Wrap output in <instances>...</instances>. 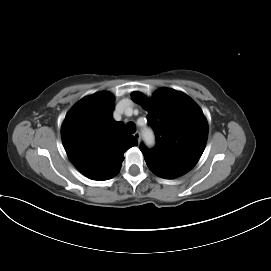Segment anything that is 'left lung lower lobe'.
Returning <instances> with one entry per match:
<instances>
[{
    "label": "left lung lower lobe",
    "instance_id": "0a47b994",
    "mask_svg": "<svg viewBox=\"0 0 271 271\" xmlns=\"http://www.w3.org/2000/svg\"><path fill=\"white\" fill-rule=\"evenodd\" d=\"M146 162H147V165L150 168V170L154 174H156L157 176H160L162 178L172 179V178H176L178 176L185 174L184 172L179 171V170L163 167V166H160V165L154 164L152 162H148V161H146Z\"/></svg>",
    "mask_w": 271,
    "mask_h": 271
}]
</instances>
